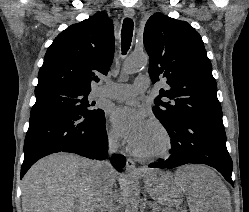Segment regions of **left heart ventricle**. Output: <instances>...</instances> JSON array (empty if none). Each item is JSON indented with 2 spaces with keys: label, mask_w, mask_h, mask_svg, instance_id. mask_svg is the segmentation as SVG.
Masks as SVG:
<instances>
[{
  "label": "left heart ventricle",
  "mask_w": 249,
  "mask_h": 212,
  "mask_svg": "<svg viewBox=\"0 0 249 212\" xmlns=\"http://www.w3.org/2000/svg\"><path fill=\"white\" fill-rule=\"evenodd\" d=\"M164 140L159 130L148 123L146 131L143 135L139 153L152 154L162 149Z\"/></svg>",
  "instance_id": "b2bd125f"
}]
</instances>
